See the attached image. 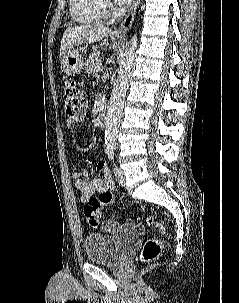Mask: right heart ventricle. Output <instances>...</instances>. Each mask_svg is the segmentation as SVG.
I'll list each match as a JSON object with an SVG mask.
<instances>
[{"label":"right heart ventricle","mask_w":239,"mask_h":303,"mask_svg":"<svg viewBox=\"0 0 239 303\" xmlns=\"http://www.w3.org/2000/svg\"><path fill=\"white\" fill-rule=\"evenodd\" d=\"M72 18L82 24L101 22L105 18L103 0H69Z\"/></svg>","instance_id":"e07e8e85"}]
</instances>
